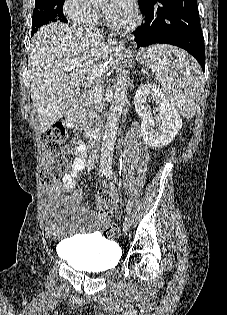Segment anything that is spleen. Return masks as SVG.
<instances>
[{"label":"spleen","mask_w":227,"mask_h":315,"mask_svg":"<svg viewBox=\"0 0 227 315\" xmlns=\"http://www.w3.org/2000/svg\"><path fill=\"white\" fill-rule=\"evenodd\" d=\"M139 57L155 73L171 105L182 116L193 117L204 83L198 63L184 51L166 45L147 48Z\"/></svg>","instance_id":"1"}]
</instances>
